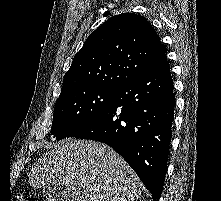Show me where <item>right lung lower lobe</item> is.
Masks as SVG:
<instances>
[{"label":"right lung lower lobe","mask_w":221,"mask_h":201,"mask_svg":"<svg viewBox=\"0 0 221 201\" xmlns=\"http://www.w3.org/2000/svg\"><path fill=\"white\" fill-rule=\"evenodd\" d=\"M175 106L166 60L152 72L120 86L111 101L67 137L106 143L137 173L159 201L166 174Z\"/></svg>","instance_id":"98d812e1"}]
</instances>
